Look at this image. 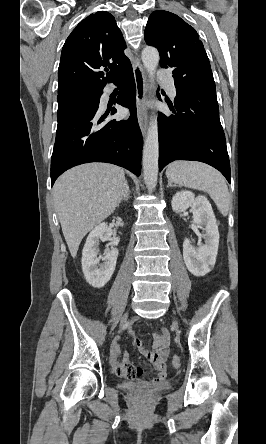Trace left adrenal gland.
I'll use <instances>...</instances> for the list:
<instances>
[{
    "label": "left adrenal gland",
    "mask_w": 266,
    "mask_h": 444,
    "mask_svg": "<svg viewBox=\"0 0 266 444\" xmlns=\"http://www.w3.org/2000/svg\"><path fill=\"white\" fill-rule=\"evenodd\" d=\"M176 185H174V184H172V182L169 180L168 181V185H167V188H169V187H175Z\"/></svg>",
    "instance_id": "1"
}]
</instances>
